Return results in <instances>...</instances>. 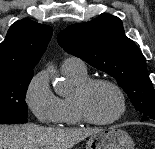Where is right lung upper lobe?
<instances>
[{
	"mask_svg": "<svg viewBox=\"0 0 155 149\" xmlns=\"http://www.w3.org/2000/svg\"><path fill=\"white\" fill-rule=\"evenodd\" d=\"M53 29L29 19L11 25L0 44V77L33 72L51 39Z\"/></svg>",
	"mask_w": 155,
	"mask_h": 149,
	"instance_id": "right-lung-upper-lobe-1",
	"label": "right lung upper lobe"
}]
</instances>
